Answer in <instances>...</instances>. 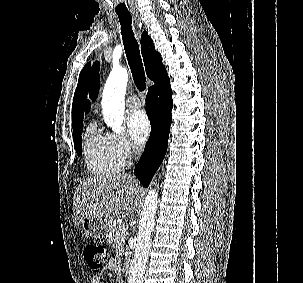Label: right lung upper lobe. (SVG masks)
I'll list each match as a JSON object with an SVG mask.
<instances>
[{
	"label": "right lung upper lobe",
	"instance_id": "cb5924a9",
	"mask_svg": "<svg viewBox=\"0 0 303 283\" xmlns=\"http://www.w3.org/2000/svg\"><path fill=\"white\" fill-rule=\"evenodd\" d=\"M141 52L149 79H151L155 85L167 80L168 75L165 66L162 63L161 55L155 50L153 41L145 31L142 33L141 37ZM89 67L90 63H88L81 71L74 94L72 104L73 127L83 122L84 101L87 95V77L89 74Z\"/></svg>",
	"mask_w": 303,
	"mask_h": 283
}]
</instances>
